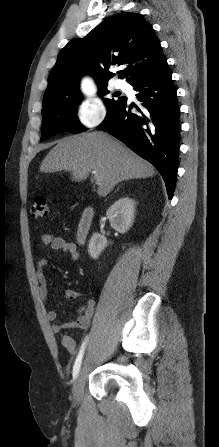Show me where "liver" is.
<instances>
[{
    "instance_id": "6515ba94",
    "label": "liver",
    "mask_w": 219,
    "mask_h": 447,
    "mask_svg": "<svg viewBox=\"0 0 219 447\" xmlns=\"http://www.w3.org/2000/svg\"><path fill=\"white\" fill-rule=\"evenodd\" d=\"M70 171L72 181L85 180L95 171L97 193L107 196L114 186L128 179L155 174L152 164L121 142L101 131L82 133L57 141L40 166L41 172Z\"/></svg>"
}]
</instances>
